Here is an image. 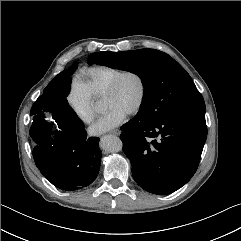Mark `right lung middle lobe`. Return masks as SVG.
Wrapping results in <instances>:
<instances>
[{
  "label": "right lung middle lobe",
  "mask_w": 241,
  "mask_h": 241,
  "mask_svg": "<svg viewBox=\"0 0 241 241\" xmlns=\"http://www.w3.org/2000/svg\"><path fill=\"white\" fill-rule=\"evenodd\" d=\"M75 68L76 66H73L59 73L33 104L30 112L33 117L30 136L34 141L52 133V124L45 120V115L48 114L52 115L58 129L85 127L66 99L70 92L71 75Z\"/></svg>",
  "instance_id": "right-lung-middle-lobe-1"
}]
</instances>
